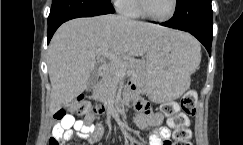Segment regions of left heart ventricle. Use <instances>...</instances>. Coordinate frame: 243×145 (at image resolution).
Masks as SVG:
<instances>
[{
    "label": "left heart ventricle",
    "mask_w": 243,
    "mask_h": 145,
    "mask_svg": "<svg viewBox=\"0 0 243 145\" xmlns=\"http://www.w3.org/2000/svg\"><path fill=\"white\" fill-rule=\"evenodd\" d=\"M147 11L156 17L168 15L172 9L173 0H144Z\"/></svg>",
    "instance_id": "1"
}]
</instances>
